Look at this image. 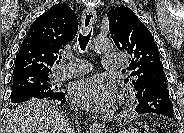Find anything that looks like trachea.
<instances>
[{"instance_id": "3493384b", "label": "trachea", "mask_w": 184, "mask_h": 133, "mask_svg": "<svg viewBox=\"0 0 184 133\" xmlns=\"http://www.w3.org/2000/svg\"><path fill=\"white\" fill-rule=\"evenodd\" d=\"M91 32H92V30L88 34H81L80 33V35H79L78 41H79V45H80V48L82 51H85V49L89 43V40L91 37ZM60 60H61V58H59L57 63L60 62Z\"/></svg>"}]
</instances>
